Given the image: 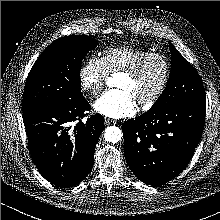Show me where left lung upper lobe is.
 <instances>
[{"instance_id": "obj_1", "label": "left lung upper lobe", "mask_w": 220, "mask_h": 220, "mask_svg": "<svg viewBox=\"0 0 220 220\" xmlns=\"http://www.w3.org/2000/svg\"><path fill=\"white\" fill-rule=\"evenodd\" d=\"M171 71L167 86L151 110L204 100L205 91L197 70L169 42Z\"/></svg>"}]
</instances>
